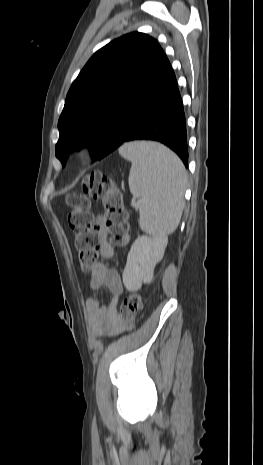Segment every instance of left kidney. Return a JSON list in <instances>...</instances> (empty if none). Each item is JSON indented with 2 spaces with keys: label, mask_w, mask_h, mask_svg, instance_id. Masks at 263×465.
I'll return each instance as SVG.
<instances>
[{
  "label": "left kidney",
  "mask_w": 263,
  "mask_h": 465,
  "mask_svg": "<svg viewBox=\"0 0 263 465\" xmlns=\"http://www.w3.org/2000/svg\"><path fill=\"white\" fill-rule=\"evenodd\" d=\"M167 243L166 236H138L128 253L122 275L123 284L128 291H137L142 283L152 281L155 265L163 258Z\"/></svg>",
  "instance_id": "left-kidney-1"
}]
</instances>
